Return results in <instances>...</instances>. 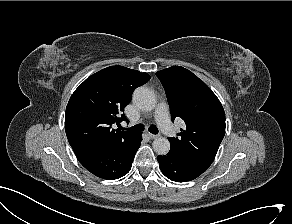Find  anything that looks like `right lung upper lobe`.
<instances>
[{
	"mask_svg": "<svg viewBox=\"0 0 292 224\" xmlns=\"http://www.w3.org/2000/svg\"><path fill=\"white\" fill-rule=\"evenodd\" d=\"M150 76L123 66H110L88 77L72 94L65 114L71 146L125 144L138 133L113 129L126 120L122 114L133 91Z\"/></svg>",
	"mask_w": 292,
	"mask_h": 224,
	"instance_id": "1",
	"label": "right lung upper lobe"
}]
</instances>
